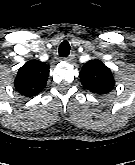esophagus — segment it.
<instances>
[{"mask_svg":"<svg viewBox=\"0 0 135 165\" xmlns=\"http://www.w3.org/2000/svg\"><path fill=\"white\" fill-rule=\"evenodd\" d=\"M74 57H75V53L73 52V53H71L68 57H64L63 59H64L66 62H71V61H73Z\"/></svg>","mask_w":135,"mask_h":165,"instance_id":"1","label":"esophagus"}]
</instances>
